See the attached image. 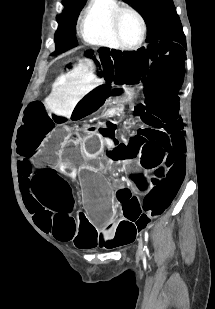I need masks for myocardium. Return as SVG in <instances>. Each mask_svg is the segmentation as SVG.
<instances>
[{
	"label": "myocardium",
	"instance_id": "f54148a6",
	"mask_svg": "<svg viewBox=\"0 0 215 309\" xmlns=\"http://www.w3.org/2000/svg\"><path fill=\"white\" fill-rule=\"evenodd\" d=\"M110 12H112V16H114V23H112V25L114 27L113 31L115 33L114 37H116L117 39V42L114 45L117 48H140L142 43L144 42L145 35H146L145 23L141 15L137 11L129 7H118V8L111 10ZM122 13H127L133 16L138 25V38L133 44H130V45H124L125 43L122 41L120 34L118 32V30H120L121 28L120 20L122 19V16L119 14H122Z\"/></svg>",
	"mask_w": 215,
	"mask_h": 309
}]
</instances>
